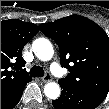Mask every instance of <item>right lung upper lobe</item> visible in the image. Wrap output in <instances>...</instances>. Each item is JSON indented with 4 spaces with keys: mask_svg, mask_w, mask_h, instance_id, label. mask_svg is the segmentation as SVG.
<instances>
[{
    "mask_svg": "<svg viewBox=\"0 0 109 109\" xmlns=\"http://www.w3.org/2000/svg\"><path fill=\"white\" fill-rule=\"evenodd\" d=\"M38 30L37 25L17 19L1 21V95L32 80L23 69L22 50Z\"/></svg>",
    "mask_w": 109,
    "mask_h": 109,
    "instance_id": "cb5924a9",
    "label": "right lung upper lobe"
}]
</instances>
